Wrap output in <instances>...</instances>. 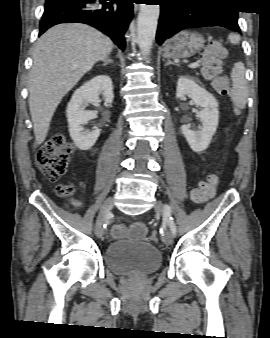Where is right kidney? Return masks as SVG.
I'll return each mask as SVG.
<instances>
[{
    "label": "right kidney",
    "mask_w": 270,
    "mask_h": 338,
    "mask_svg": "<svg viewBox=\"0 0 270 338\" xmlns=\"http://www.w3.org/2000/svg\"><path fill=\"white\" fill-rule=\"evenodd\" d=\"M102 94L105 102L113 101L112 80L107 75H99L91 79L77 89L68 103L66 116L68 119L69 133L75 145L81 150L90 149L100 135V129L85 130L81 125L96 118V113L86 111L89 103H99V95Z\"/></svg>",
    "instance_id": "ca27d5eb"
}]
</instances>
